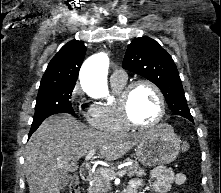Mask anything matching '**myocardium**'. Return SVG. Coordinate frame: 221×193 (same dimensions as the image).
I'll use <instances>...</instances> for the list:
<instances>
[{
	"label": "myocardium",
	"mask_w": 221,
	"mask_h": 193,
	"mask_svg": "<svg viewBox=\"0 0 221 193\" xmlns=\"http://www.w3.org/2000/svg\"><path fill=\"white\" fill-rule=\"evenodd\" d=\"M139 85H147L150 88H152L153 91L156 93L159 101L158 115L154 119V121L148 124L138 123L137 121L134 120L130 112L131 95L133 90ZM117 103L124 123L127 126L135 129H151L158 126L162 122L166 112V102L162 90L157 84H155L153 81L149 79H137L125 85L117 98Z\"/></svg>",
	"instance_id": "1"
}]
</instances>
